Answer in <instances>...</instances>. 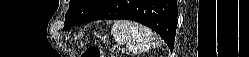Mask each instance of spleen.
<instances>
[{"label": "spleen", "mask_w": 249, "mask_h": 57, "mask_svg": "<svg viewBox=\"0 0 249 57\" xmlns=\"http://www.w3.org/2000/svg\"><path fill=\"white\" fill-rule=\"evenodd\" d=\"M111 32L119 44L126 45L133 53H141L161 46V41L156 33L133 21H116Z\"/></svg>", "instance_id": "3e777b00"}]
</instances>
